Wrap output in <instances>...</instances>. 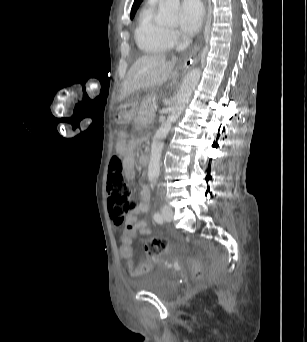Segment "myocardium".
I'll use <instances>...</instances> for the list:
<instances>
[{"label": "myocardium", "instance_id": "obj_1", "mask_svg": "<svg viewBox=\"0 0 307 342\" xmlns=\"http://www.w3.org/2000/svg\"><path fill=\"white\" fill-rule=\"evenodd\" d=\"M163 38V43L166 47L167 50L169 51H174L178 49V46L174 43H172L168 38H167V34H163L162 35Z\"/></svg>", "mask_w": 307, "mask_h": 342}]
</instances>
